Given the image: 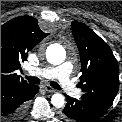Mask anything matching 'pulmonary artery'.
<instances>
[{
    "label": "pulmonary artery",
    "instance_id": "obj_1",
    "mask_svg": "<svg viewBox=\"0 0 122 122\" xmlns=\"http://www.w3.org/2000/svg\"><path fill=\"white\" fill-rule=\"evenodd\" d=\"M72 69H73L72 62L66 61L63 64L56 67L30 69L29 73L34 76H41L45 78H56L58 79L61 88L68 95L77 97L80 95V90L76 88L75 84L70 79Z\"/></svg>",
    "mask_w": 122,
    "mask_h": 122
}]
</instances>
